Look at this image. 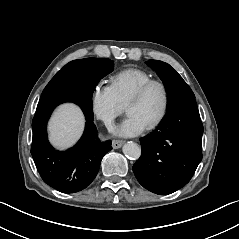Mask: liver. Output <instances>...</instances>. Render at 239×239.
<instances>
[{"label": "liver", "instance_id": "6515ba94", "mask_svg": "<svg viewBox=\"0 0 239 239\" xmlns=\"http://www.w3.org/2000/svg\"><path fill=\"white\" fill-rule=\"evenodd\" d=\"M83 123V116L78 108L72 105L60 107L49 124L52 142L58 147L72 144L80 135Z\"/></svg>", "mask_w": 239, "mask_h": 239}]
</instances>
